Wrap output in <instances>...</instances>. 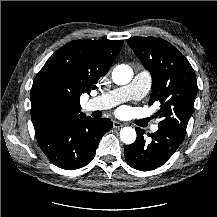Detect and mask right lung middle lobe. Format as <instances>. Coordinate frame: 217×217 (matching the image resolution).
<instances>
[{
    "mask_svg": "<svg viewBox=\"0 0 217 217\" xmlns=\"http://www.w3.org/2000/svg\"><path fill=\"white\" fill-rule=\"evenodd\" d=\"M69 104L58 89L51 84L44 86L31 104V114L38 123L51 126L61 123L67 115Z\"/></svg>",
    "mask_w": 217,
    "mask_h": 217,
    "instance_id": "obj_1",
    "label": "right lung middle lobe"
}]
</instances>
